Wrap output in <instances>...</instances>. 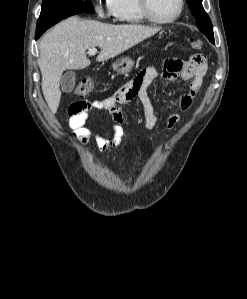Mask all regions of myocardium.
Listing matches in <instances>:
<instances>
[{
  "mask_svg": "<svg viewBox=\"0 0 247 299\" xmlns=\"http://www.w3.org/2000/svg\"><path fill=\"white\" fill-rule=\"evenodd\" d=\"M138 4L140 11L145 19L156 24H169L176 21L181 16L184 8V0H178L177 12L168 19H159L152 14L150 10L149 0H138Z\"/></svg>",
  "mask_w": 247,
  "mask_h": 299,
  "instance_id": "myocardium-1",
  "label": "myocardium"
}]
</instances>
